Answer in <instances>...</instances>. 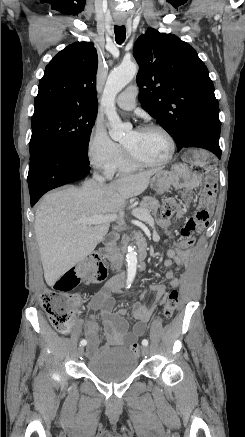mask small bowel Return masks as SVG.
I'll use <instances>...</instances> for the list:
<instances>
[{
	"instance_id": "c3829d8e",
	"label": "small bowel",
	"mask_w": 245,
	"mask_h": 437,
	"mask_svg": "<svg viewBox=\"0 0 245 437\" xmlns=\"http://www.w3.org/2000/svg\"><path fill=\"white\" fill-rule=\"evenodd\" d=\"M185 156L187 162L190 163L195 171L201 169L202 171H208L210 173L215 168L214 162L210 159L209 154H203L202 150H186ZM202 184L203 180L201 178L194 180L195 186H201ZM192 199L193 196L191 192H186V203L189 204ZM212 203L213 188L207 183V188L201 200L202 209L199 210L194 217L187 220L185 227L181 231V236L177 239L173 236L170 224L165 219L160 220L161 226L166 230L173 244V246H169V243H165L167 259L164 261V266L169 269L166 273V279L172 288L180 286L183 281V276L176 277L175 273L184 269L188 264L190 248L196 241L190 233L193 230L202 231L207 227L209 222V209ZM183 214L184 210L179 209L178 215L183 216ZM119 285L116 279L107 282L90 301V308L99 312V316L104 325L106 343L101 348L103 351L114 347L123 348L142 336L145 333L146 325L153 312L157 306L163 303L167 295L166 287L161 283L152 284L141 291L139 300L132 305V315L135 319V323L131 325L126 319V309L122 308L116 313L112 312L114 306L112 293L119 292ZM146 291L156 296L155 303L152 306L146 305L143 301ZM85 336L88 340L86 357L92 359L97 355L99 346L98 325L94 317H91L86 322Z\"/></svg>"
}]
</instances>
